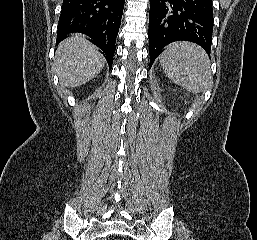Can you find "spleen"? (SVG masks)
I'll list each match as a JSON object with an SVG mask.
<instances>
[{"instance_id":"3e777b00","label":"spleen","mask_w":257,"mask_h":240,"mask_svg":"<svg viewBox=\"0 0 257 240\" xmlns=\"http://www.w3.org/2000/svg\"><path fill=\"white\" fill-rule=\"evenodd\" d=\"M159 59L166 76L189 92H204L212 83L208 56L196 44L186 41L172 43Z\"/></svg>"}]
</instances>
